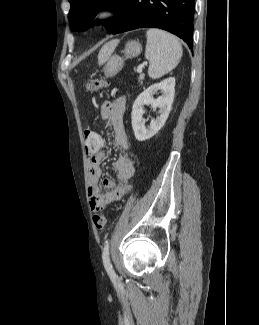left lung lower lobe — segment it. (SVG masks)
Masks as SVG:
<instances>
[{
  "label": "left lung lower lobe",
  "instance_id": "1",
  "mask_svg": "<svg viewBox=\"0 0 259 325\" xmlns=\"http://www.w3.org/2000/svg\"><path fill=\"white\" fill-rule=\"evenodd\" d=\"M195 0H127L112 34L138 28H160L192 48Z\"/></svg>",
  "mask_w": 259,
  "mask_h": 325
}]
</instances>
